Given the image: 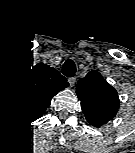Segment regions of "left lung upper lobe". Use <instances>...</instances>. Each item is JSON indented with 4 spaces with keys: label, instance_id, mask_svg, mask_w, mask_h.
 Segmentation results:
<instances>
[{
    "label": "left lung upper lobe",
    "instance_id": "5c2ea615",
    "mask_svg": "<svg viewBox=\"0 0 135 153\" xmlns=\"http://www.w3.org/2000/svg\"><path fill=\"white\" fill-rule=\"evenodd\" d=\"M76 89L82 111L91 125L100 127L116 115L119 107L117 91L97 71L80 79Z\"/></svg>",
    "mask_w": 135,
    "mask_h": 153
}]
</instances>
